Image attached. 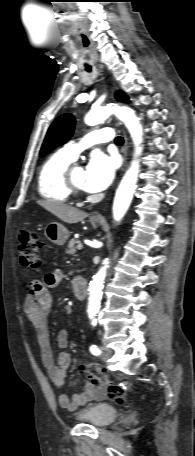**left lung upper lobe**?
<instances>
[{
  "mask_svg": "<svg viewBox=\"0 0 195 456\" xmlns=\"http://www.w3.org/2000/svg\"><path fill=\"white\" fill-rule=\"evenodd\" d=\"M115 97L121 102L129 101L122 91H117ZM74 125L75 119L71 114H63L58 117L48 129L40 150V157L45 156L57 146L68 141L73 134Z\"/></svg>",
  "mask_w": 195,
  "mask_h": 456,
  "instance_id": "5c2ea615",
  "label": "left lung upper lobe"
}]
</instances>
